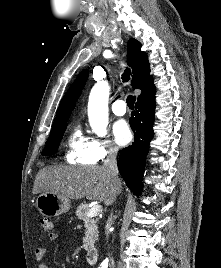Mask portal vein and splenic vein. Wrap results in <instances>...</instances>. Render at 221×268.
Listing matches in <instances>:
<instances>
[{"instance_id": "18ae733b", "label": "portal vein and splenic vein", "mask_w": 221, "mask_h": 268, "mask_svg": "<svg viewBox=\"0 0 221 268\" xmlns=\"http://www.w3.org/2000/svg\"><path fill=\"white\" fill-rule=\"evenodd\" d=\"M101 211H102V206L101 205H94L86 213V216L89 217V218L94 217V216H97Z\"/></svg>"}]
</instances>
